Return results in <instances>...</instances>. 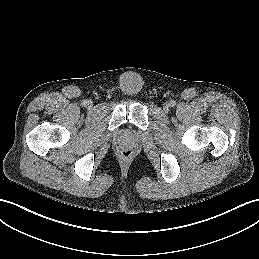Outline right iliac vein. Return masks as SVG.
I'll return each instance as SVG.
<instances>
[{"instance_id": "63e3f726", "label": "right iliac vein", "mask_w": 259, "mask_h": 259, "mask_svg": "<svg viewBox=\"0 0 259 259\" xmlns=\"http://www.w3.org/2000/svg\"><path fill=\"white\" fill-rule=\"evenodd\" d=\"M91 105H92V102L88 101L87 106H91Z\"/></svg>"}]
</instances>
